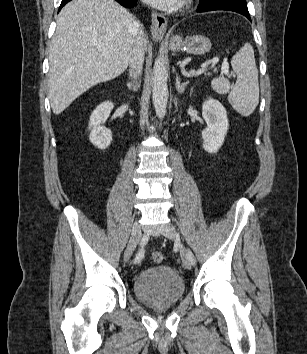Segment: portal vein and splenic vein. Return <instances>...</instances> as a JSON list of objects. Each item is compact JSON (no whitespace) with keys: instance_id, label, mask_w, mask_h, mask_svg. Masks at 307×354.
Segmentation results:
<instances>
[{"instance_id":"18ae733b","label":"portal vein and splenic vein","mask_w":307,"mask_h":354,"mask_svg":"<svg viewBox=\"0 0 307 354\" xmlns=\"http://www.w3.org/2000/svg\"><path fill=\"white\" fill-rule=\"evenodd\" d=\"M99 48L101 49L102 51V55L103 56H108L109 55V52L108 50L104 49L103 47L99 46ZM219 62V59L217 57H214L213 59L211 60H208V61H205L202 65V68L199 69L195 74L194 76H197V75H200L202 73H204L205 71H207V68L208 66L211 64V68H213L217 63ZM229 65L227 62H224L223 65H222V73H224L225 75H228L229 74Z\"/></svg>"}]
</instances>
